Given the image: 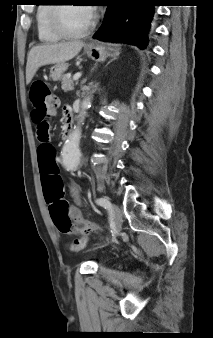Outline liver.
Segmentation results:
<instances>
[{
	"label": "liver",
	"instance_id": "6515ba94",
	"mask_svg": "<svg viewBox=\"0 0 213 338\" xmlns=\"http://www.w3.org/2000/svg\"><path fill=\"white\" fill-rule=\"evenodd\" d=\"M82 41L44 44L33 47L28 53L26 83L29 84L37 70L48 64L65 63L73 59L82 49Z\"/></svg>",
	"mask_w": 213,
	"mask_h": 338
}]
</instances>
